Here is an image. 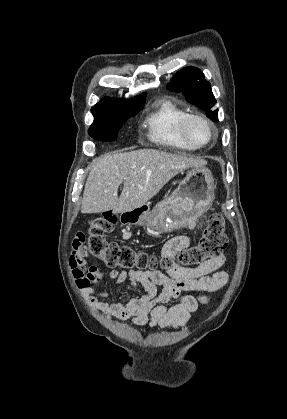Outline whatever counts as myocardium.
Returning a JSON list of instances; mask_svg holds the SVG:
<instances>
[{
	"instance_id": "1",
	"label": "myocardium",
	"mask_w": 287,
	"mask_h": 419,
	"mask_svg": "<svg viewBox=\"0 0 287 419\" xmlns=\"http://www.w3.org/2000/svg\"><path fill=\"white\" fill-rule=\"evenodd\" d=\"M191 121L202 122L209 131V138L205 142H194L188 134V125ZM179 132L182 138L191 146L201 148L209 145L215 139V129L212 123L203 115L196 113H186L179 122Z\"/></svg>"
}]
</instances>
